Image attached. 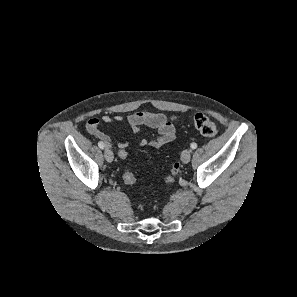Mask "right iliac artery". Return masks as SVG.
I'll return each instance as SVG.
<instances>
[{
  "instance_id": "obj_1",
  "label": "right iliac artery",
  "mask_w": 297,
  "mask_h": 297,
  "mask_svg": "<svg viewBox=\"0 0 297 297\" xmlns=\"http://www.w3.org/2000/svg\"><path fill=\"white\" fill-rule=\"evenodd\" d=\"M98 146H99V148H101V149H103V148L105 147L104 143L101 142V141L98 142Z\"/></svg>"
}]
</instances>
